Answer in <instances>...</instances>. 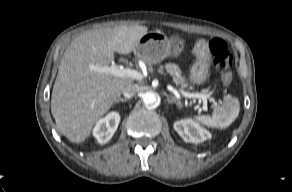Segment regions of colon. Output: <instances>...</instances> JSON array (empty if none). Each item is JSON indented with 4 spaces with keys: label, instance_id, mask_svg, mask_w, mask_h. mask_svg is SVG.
Segmentation results:
<instances>
[{
    "label": "colon",
    "instance_id": "colon-1",
    "mask_svg": "<svg viewBox=\"0 0 292 192\" xmlns=\"http://www.w3.org/2000/svg\"><path fill=\"white\" fill-rule=\"evenodd\" d=\"M210 51L213 55L216 69L222 74V84L225 88H228L232 83V53L229 51L227 44L221 39H213L210 42Z\"/></svg>",
    "mask_w": 292,
    "mask_h": 192
}]
</instances>
